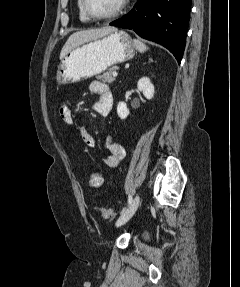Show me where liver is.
I'll return each instance as SVG.
<instances>
[{
	"mask_svg": "<svg viewBox=\"0 0 240 287\" xmlns=\"http://www.w3.org/2000/svg\"><path fill=\"white\" fill-rule=\"evenodd\" d=\"M117 30L115 27L112 26H105L96 29H88L83 31H77L70 35L67 39L65 45L63 46L60 52V59H63L72 49L76 48L77 46L86 43L91 40H95L98 38L107 35L110 32Z\"/></svg>",
	"mask_w": 240,
	"mask_h": 287,
	"instance_id": "liver-1",
	"label": "liver"
}]
</instances>
